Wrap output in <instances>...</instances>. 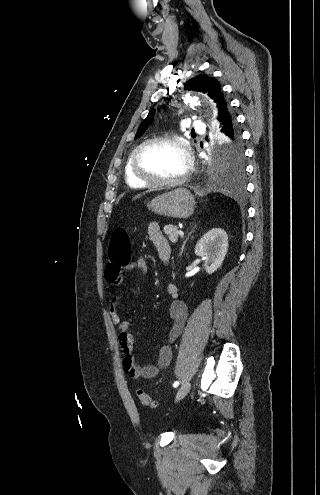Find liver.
Returning a JSON list of instances; mask_svg holds the SVG:
<instances>
[{
    "label": "liver",
    "instance_id": "6515ba94",
    "mask_svg": "<svg viewBox=\"0 0 320 495\" xmlns=\"http://www.w3.org/2000/svg\"><path fill=\"white\" fill-rule=\"evenodd\" d=\"M139 197H140V194H139V195H137V196H135V197H134V199H137V198H139Z\"/></svg>",
    "mask_w": 320,
    "mask_h": 495
}]
</instances>
